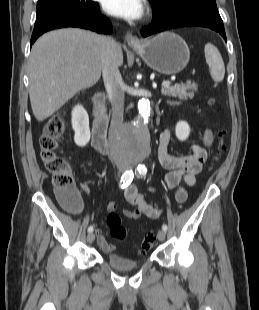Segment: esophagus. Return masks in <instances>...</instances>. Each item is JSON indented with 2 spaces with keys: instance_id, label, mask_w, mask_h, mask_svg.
<instances>
[{
  "instance_id": "esophagus-1",
  "label": "esophagus",
  "mask_w": 259,
  "mask_h": 310,
  "mask_svg": "<svg viewBox=\"0 0 259 310\" xmlns=\"http://www.w3.org/2000/svg\"><path fill=\"white\" fill-rule=\"evenodd\" d=\"M125 41L131 48H137L141 45L140 40L130 32L126 33Z\"/></svg>"
}]
</instances>
